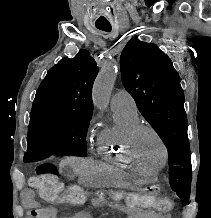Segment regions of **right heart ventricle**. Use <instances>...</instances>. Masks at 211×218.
<instances>
[{"instance_id": "e07e8e85", "label": "right heart ventricle", "mask_w": 211, "mask_h": 218, "mask_svg": "<svg viewBox=\"0 0 211 218\" xmlns=\"http://www.w3.org/2000/svg\"><path fill=\"white\" fill-rule=\"evenodd\" d=\"M114 125L103 129L97 137L94 154L104 157L109 165H120L121 169H136L128 147V134L132 127L140 123L137 111L113 108Z\"/></svg>"}]
</instances>
